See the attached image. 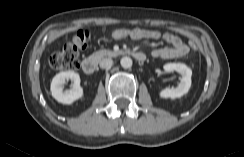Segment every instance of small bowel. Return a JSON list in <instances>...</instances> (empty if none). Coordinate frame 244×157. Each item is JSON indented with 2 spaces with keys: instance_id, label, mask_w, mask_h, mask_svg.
<instances>
[{
  "instance_id": "small-bowel-1",
  "label": "small bowel",
  "mask_w": 244,
  "mask_h": 157,
  "mask_svg": "<svg viewBox=\"0 0 244 157\" xmlns=\"http://www.w3.org/2000/svg\"><path fill=\"white\" fill-rule=\"evenodd\" d=\"M133 40L150 39V40H164L169 45L162 48H155L151 52V56L154 59H175L185 56L189 48L178 36L169 32H160L157 30H148L135 28L132 29L130 36Z\"/></svg>"
}]
</instances>
